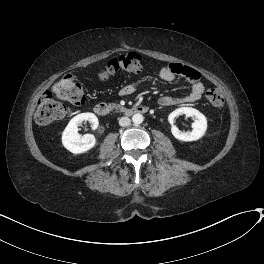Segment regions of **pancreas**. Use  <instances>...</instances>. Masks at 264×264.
I'll list each match as a JSON object with an SVG mask.
<instances>
[{"label":"pancreas","mask_w":264,"mask_h":264,"mask_svg":"<svg viewBox=\"0 0 264 264\" xmlns=\"http://www.w3.org/2000/svg\"><path fill=\"white\" fill-rule=\"evenodd\" d=\"M110 107L112 109H115V110L120 111V112H123L125 110V108L123 106H121L119 104H115V103L110 104Z\"/></svg>","instance_id":"pancreas-1"}]
</instances>
